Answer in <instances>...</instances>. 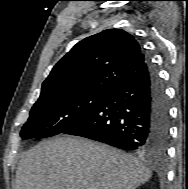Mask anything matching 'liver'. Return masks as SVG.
Here are the masks:
<instances>
[{"label":"liver","instance_id":"1","mask_svg":"<svg viewBox=\"0 0 188 189\" xmlns=\"http://www.w3.org/2000/svg\"><path fill=\"white\" fill-rule=\"evenodd\" d=\"M151 174L129 154L86 138L63 136L22 155L14 189H135Z\"/></svg>","mask_w":188,"mask_h":189}]
</instances>
